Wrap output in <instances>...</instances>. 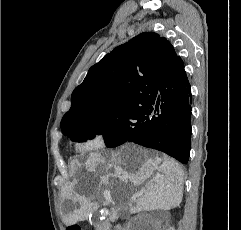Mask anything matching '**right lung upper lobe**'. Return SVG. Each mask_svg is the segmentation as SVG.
<instances>
[{"mask_svg":"<svg viewBox=\"0 0 241 230\" xmlns=\"http://www.w3.org/2000/svg\"><path fill=\"white\" fill-rule=\"evenodd\" d=\"M179 58L170 42L154 32L114 48L73 91L72 106L61 121L63 133L79 122L103 119L113 109L135 108L152 100Z\"/></svg>","mask_w":241,"mask_h":230,"instance_id":"obj_1","label":"right lung upper lobe"}]
</instances>
